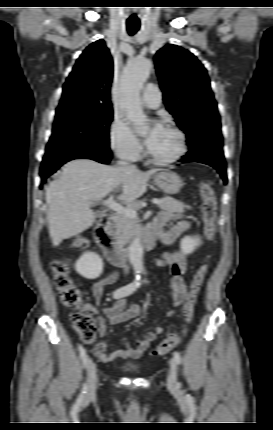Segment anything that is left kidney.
<instances>
[{
	"mask_svg": "<svg viewBox=\"0 0 273 430\" xmlns=\"http://www.w3.org/2000/svg\"><path fill=\"white\" fill-rule=\"evenodd\" d=\"M202 243L199 236H185L181 240V249L184 253L190 254Z\"/></svg>",
	"mask_w": 273,
	"mask_h": 430,
	"instance_id": "left-kidney-1",
	"label": "left kidney"
}]
</instances>
